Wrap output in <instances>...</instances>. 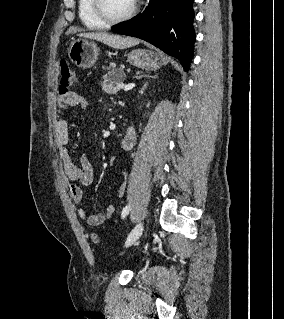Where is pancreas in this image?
<instances>
[{
  "label": "pancreas",
  "mask_w": 284,
  "mask_h": 319,
  "mask_svg": "<svg viewBox=\"0 0 284 319\" xmlns=\"http://www.w3.org/2000/svg\"><path fill=\"white\" fill-rule=\"evenodd\" d=\"M117 70H112L111 72H108V74L103 76V82L101 83L102 90L105 91L108 94H114L118 90H120V84L125 79V74L123 71H118L120 76L119 78L113 77V73Z\"/></svg>",
  "instance_id": "cf45deb5"
}]
</instances>
